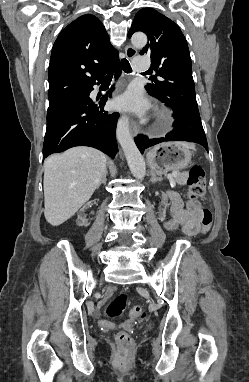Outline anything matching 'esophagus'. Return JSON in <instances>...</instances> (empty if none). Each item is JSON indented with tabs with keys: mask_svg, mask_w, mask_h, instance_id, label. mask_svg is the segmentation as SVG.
Returning <instances> with one entry per match:
<instances>
[{
	"mask_svg": "<svg viewBox=\"0 0 249 382\" xmlns=\"http://www.w3.org/2000/svg\"><path fill=\"white\" fill-rule=\"evenodd\" d=\"M125 54L128 59H132L137 54V50L133 46L127 45L125 47ZM130 129L134 136L137 135V133L139 132V126L137 125L136 121L132 120L130 122Z\"/></svg>",
	"mask_w": 249,
	"mask_h": 382,
	"instance_id": "1",
	"label": "esophagus"
}]
</instances>
